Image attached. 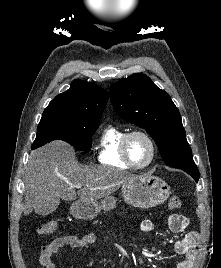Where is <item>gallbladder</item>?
I'll list each match as a JSON object with an SVG mask.
<instances>
[{
  "label": "gallbladder",
  "instance_id": "gallbladder-1",
  "mask_svg": "<svg viewBox=\"0 0 221 268\" xmlns=\"http://www.w3.org/2000/svg\"><path fill=\"white\" fill-rule=\"evenodd\" d=\"M35 213H38L39 217H46L48 214L54 212L59 203L58 199H36Z\"/></svg>",
  "mask_w": 221,
  "mask_h": 268
}]
</instances>
